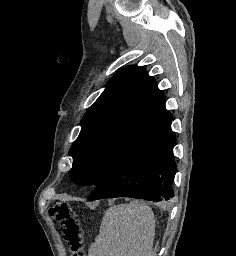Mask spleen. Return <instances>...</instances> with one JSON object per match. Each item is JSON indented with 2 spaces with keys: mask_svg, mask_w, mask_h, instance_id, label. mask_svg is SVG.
Listing matches in <instances>:
<instances>
[{
  "mask_svg": "<svg viewBox=\"0 0 236 256\" xmlns=\"http://www.w3.org/2000/svg\"><path fill=\"white\" fill-rule=\"evenodd\" d=\"M154 236L155 218L149 206L141 202L111 206L88 256H152Z\"/></svg>",
  "mask_w": 236,
  "mask_h": 256,
  "instance_id": "1",
  "label": "spleen"
}]
</instances>
